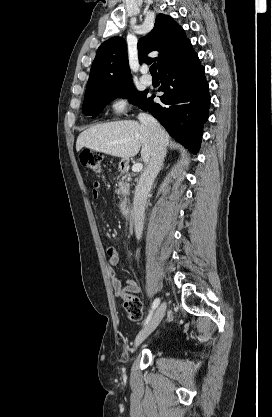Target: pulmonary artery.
Returning a JSON list of instances; mask_svg holds the SVG:
<instances>
[{
  "label": "pulmonary artery",
  "instance_id": "1",
  "mask_svg": "<svg viewBox=\"0 0 272 417\" xmlns=\"http://www.w3.org/2000/svg\"><path fill=\"white\" fill-rule=\"evenodd\" d=\"M141 81L146 85H150L152 83V78L144 72L141 76Z\"/></svg>",
  "mask_w": 272,
  "mask_h": 417
}]
</instances>
